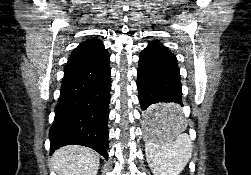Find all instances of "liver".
<instances>
[{"instance_id": "6515ba94", "label": "liver", "mask_w": 251, "mask_h": 175, "mask_svg": "<svg viewBox=\"0 0 251 175\" xmlns=\"http://www.w3.org/2000/svg\"><path fill=\"white\" fill-rule=\"evenodd\" d=\"M50 161L58 175H96L100 163L98 153L84 145H64Z\"/></svg>"}]
</instances>
